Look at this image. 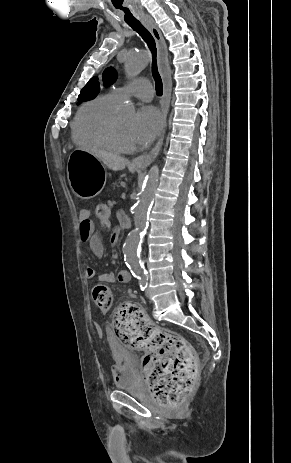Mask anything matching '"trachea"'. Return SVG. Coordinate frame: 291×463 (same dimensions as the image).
Segmentation results:
<instances>
[{"mask_svg":"<svg viewBox=\"0 0 291 463\" xmlns=\"http://www.w3.org/2000/svg\"><path fill=\"white\" fill-rule=\"evenodd\" d=\"M128 25L136 31L142 39L147 43L153 57V62H152V72H153V77L155 80V87H156V93L157 95L161 96L163 93V85H162V79L161 76L158 72L157 68V61H156V44L153 36L151 33L146 29L139 21L136 22H130Z\"/></svg>","mask_w":291,"mask_h":463,"instance_id":"trachea-1","label":"trachea"}]
</instances>
